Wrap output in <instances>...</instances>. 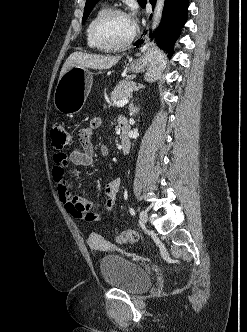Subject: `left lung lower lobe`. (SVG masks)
Wrapping results in <instances>:
<instances>
[{"label": "left lung lower lobe", "mask_w": 247, "mask_h": 332, "mask_svg": "<svg viewBox=\"0 0 247 332\" xmlns=\"http://www.w3.org/2000/svg\"><path fill=\"white\" fill-rule=\"evenodd\" d=\"M149 2L154 7L156 0ZM188 6V0H165L162 21L154 32V37L157 38L158 46L170 54L173 53L174 42L180 35L181 26L186 23Z\"/></svg>", "instance_id": "obj_1"}]
</instances>
